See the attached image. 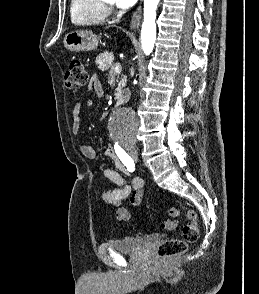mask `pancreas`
Masks as SVG:
<instances>
[{
	"label": "pancreas",
	"mask_w": 259,
	"mask_h": 294,
	"mask_svg": "<svg viewBox=\"0 0 259 294\" xmlns=\"http://www.w3.org/2000/svg\"><path fill=\"white\" fill-rule=\"evenodd\" d=\"M114 55L112 53L104 52L97 56L96 58V64L98 66V69L101 71H107L109 70L110 75H118V73L114 72L113 68L116 64L113 63ZM126 84V77L124 76L120 82L117 92L120 93L123 87H125ZM119 102L124 101L123 96L117 97Z\"/></svg>",
	"instance_id": "cf45deb5"
}]
</instances>
